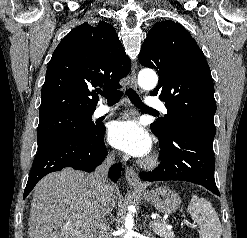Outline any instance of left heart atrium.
I'll list each match as a JSON object with an SVG mask.
<instances>
[{"instance_id": "obj_1", "label": "left heart atrium", "mask_w": 247, "mask_h": 238, "mask_svg": "<svg viewBox=\"0 0 247 238\" xmlns=\"http://www.w3.org/2000/svg\"><path fill=\"white\" fill-rule=\"evenodd\" d=\"M109 143L130 155L143 156L151 147V140L144 128L135 120H119L111 124Z\"/></svg>"}]
</instances>
